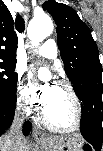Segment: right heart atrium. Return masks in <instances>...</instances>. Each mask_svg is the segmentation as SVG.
<instances>
[{
	"mask_svg": "<svg viewBox=\"0 0 103 151\" xmlns=\"http://www.w3.org/2000/svg\"><path fill=\"white\" fill-rule=\"evenodd\" d=\"M16 103H17V107L20 110L27 113L31 111L32 102L27 96V93L20 82H18L17 84Z\"/></svg>",
	"mask_w": 103,
	"mask_h": 151,
	"instance_id": "1",
	"label": "right heart atrium"
}]
</instances>
